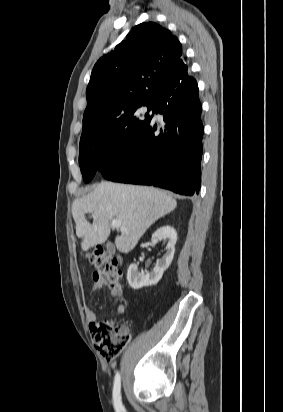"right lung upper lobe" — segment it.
<instances>
[{"instance_id": "obj_1", "label": "right lung upper lobe", "mask_w": 283, "mask_h": 412, "mask_svg": "<svg viewBox=\"0 0 283 412\" xmlns=\"http://www.w3.org/2000/svg\"><path fill=\"white\" fill-rule=\"evenodd\" d=\"M188 76L182 46L169 30L153 22L135 26L92 70L81 138L104 132L136 105L157 103Z\"/></svg>"}]
</instances>
